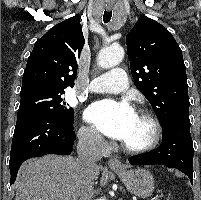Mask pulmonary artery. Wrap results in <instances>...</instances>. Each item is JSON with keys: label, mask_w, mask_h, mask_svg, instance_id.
<instances>
[{"label": "pulmonary artery", "mask_w": 201, "mask_h": 200, "mask_svg": "<svg viewBox=\"0 0 201 200\" xmlns=\"http://www.w3.org/2000/svg\"><path fill=\"white\" fill-rule=\"evenodd\" d=\"M128 86L126 73L120 68L99 75L91 83L89 90L93 93H120Z\"/></svg>", "instance_id": "pulmonary-artery-1"}]
</instances>
